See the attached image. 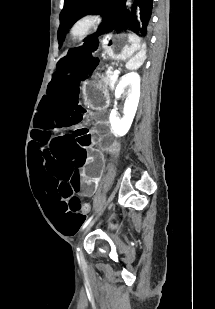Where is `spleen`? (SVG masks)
Masks as SVG:
<instances>
[{
	"mask_svg": "<svg viewBox=\"0 0 215 309\" xmlns=\"http://www.w3.org/2000/svg\"><path fill=\"white\" fill-rule=\"evenodd\" d=\"M146 58V44H142L141 50L135 54V56H132L128 62H126L125 66L126 68H129V70H137L141 64H143L144 60Z\"/></svg>",
	"mask_w": 215,
	"mask_h": 309,
	"instance_id": "1",
	"label": "spleen"
}]
</instances>
